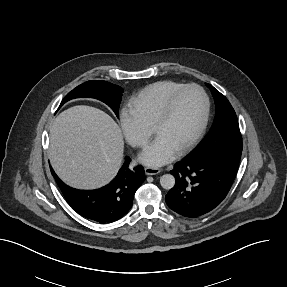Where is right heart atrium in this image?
Segmentation results:
<instances>
[{
    "label": "right heart atrium",
    "mask_w": 287,
    "mask_h": 287,
    "mask_svg": "<svg viewBox=\"0 0 287 287\" xmlns=\"http://www.w3.org/2000/svg\"><path fill=\"white\" fill-rule=\"evenodd\" d=\"M120 125L127 142L134 147H143L151 136V129L131 109L120 112Z\"/></svg>",
    "instance_id": "d8ad5b80"
}]
</instances>
